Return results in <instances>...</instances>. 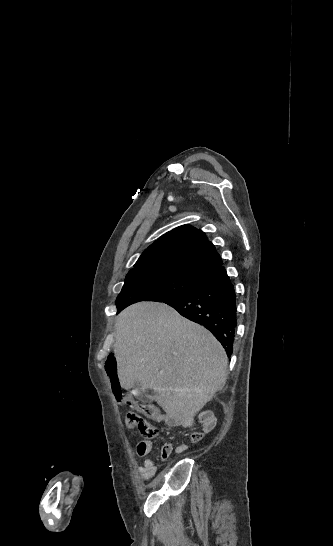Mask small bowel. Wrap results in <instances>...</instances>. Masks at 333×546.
<instances>
[{"label":"small bowel","instance_id":"c3829d8e","mask_svg":"<svg viewBox=\"0 0 333 546\" xmlns=\"http://www.w3.org/2000/svg\"><path fill=\"white\" fill-rule=\"evenodd\" d=\"M151 418L156 420V421L166 420L170 424H173V425H179L180 424L177 420H173V419H169V418L165 417L158 410H156V414L154 416H151ZM205 422L208 423V428H210L215 423V420L212 417H206ZM182 424L185 425V426L190 425V423H187V422H183ZM190 431H191L190 432V438H191V441H193V442L200 441L202 439L203 435H204L202 430L197 429L192 425H190ZM187 447H188L187 444L182 443V444H179L175 448V451L177 453H183V452H185L187 450ZM153 448H154V442L151 441V440L140 441L137 444V447H136L137 454L139 456H141V457H145L142 465L139 467V473H140L142 479L146 480V481L150 480L155 475L156 470H157L156 461L154 459H151V458L147 457L152 452ZM172 450H173V444L172 443L164 444V446L162 447L161 452H160V459L164 460V459L168 458L169 455L171 454Z\"/></svg>","mask_w":333,"mask_h":546}]
</instances>
